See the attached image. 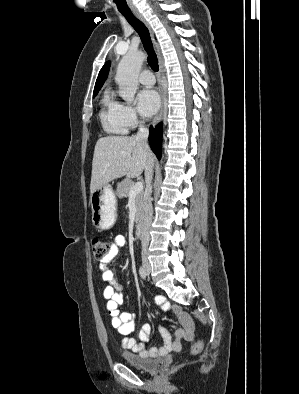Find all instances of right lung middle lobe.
Here are the masks:
<instances>
[{
    "label": "right lung middle lobe",
    "instance_id": "dd1d6c3e",
    "mask_svg": "<svg viewBox=\"0 0 299 394\" xmlns=\"http://www.w3.org/2000/svg\"><path fill=\"white\" fill-rule=\"evenodd\" d=\"M97 94H93V97H95Z\"/></svg>",
    "mask_w": 299,
    "mask_h": 394
}]
</instances>
